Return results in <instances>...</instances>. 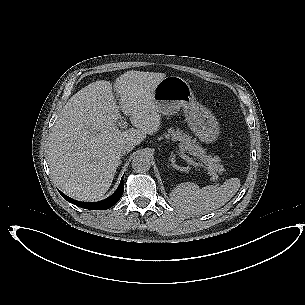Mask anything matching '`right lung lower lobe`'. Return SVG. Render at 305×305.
Instances as JSON below:
<instances>
[{
    "label": "right lung lower lobe",
    "instance_id": "98d812e1",
    "mask_svg": "<svg viewBox=\"0 0 305 305\" xmlns=\"http://www.w3.org/2000/svg\"><path fill=\"white\" fill-rule=\"evenodd\" d=\"M124 177V176H123ZM123 177L121 179L120 185L118 186L117 190L108 198L99 201V202H94V203H89V202H80L76 201L74 199L69 198L65 194H63L61 191L60 194L70 203L89 210H103V209H109L113 205L117 203V201L121 198L123 191H124V184H123Z\"/></svg>",
    "mask_w": 305,
    "mask_h": 305
}]
</instances>
